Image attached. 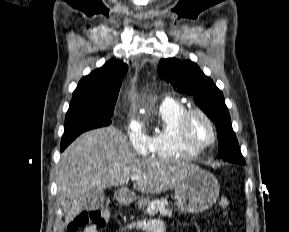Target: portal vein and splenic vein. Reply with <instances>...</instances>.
Returning a JSON list of instances; mask_svg holds the SVG:
<instances>
[{
    "label": "portal vein and splenic vein",
    "mask_w": 289,
    "mask_h": 232,
    "mask_svg": "<svg viewBox=\"0 0 289 232\" xmlns=\"http://www.w3.org/2000/svg\"><path fill=\"white\" fill-rule=\"evenodd\" d=\"M130 179H131L132 181H137V180L140 179V176L134 175V176H131Z\"/></svg>",
    "instance_id": "1"
}]
</instances>
